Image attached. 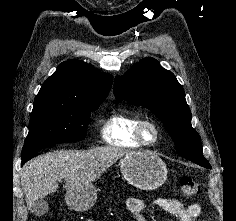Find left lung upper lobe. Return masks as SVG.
Wrapping results in <instances>:
<instances>
[{
    "label": "left lung upper lobe",
    "mask_w": 236,
    "mask_h": 221,
    "mask_svg": "<svg viewBox=\"0 0 236 221\" xmlns=\"http://www.w3.org/2000/svg\"><path fill=\"white\" fill-rule=\"evenodd\" d=\"M114 95L119 101L152 111L165 125L179 155L211 169L204 158L199 134L191 126V112L175 75L151 57L142 59L124 76H117Z\"/></svg>",
    "instance_id": "obj_1"
}]
</instances>
